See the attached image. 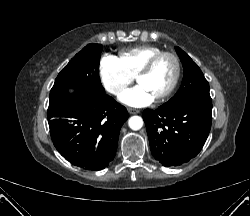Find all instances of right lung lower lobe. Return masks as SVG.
I'll list each match as a JSON object with an SVG mask.
<instances>
[{
  "label": "right lung lower lobe",
  "instance_id": "obj_1",
  "mask_svg": "<svg viewBox=\"0 0 250 216\" xmlns=\"http://www.w3.org/2000/svg\"><path fill=\"white\" fill-rule=\"evenodd\" d=\"M48 123L56 149L72 164L101 170L113 160L125 107L100 92L76 90L49 103Z\"/></svg>",
  "mask_w": 250,
  "mask_h": 216
}]
</instances>
